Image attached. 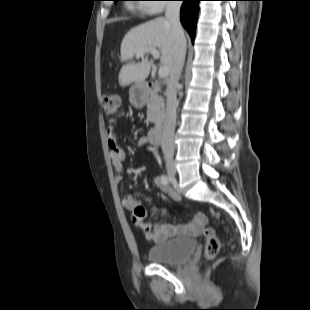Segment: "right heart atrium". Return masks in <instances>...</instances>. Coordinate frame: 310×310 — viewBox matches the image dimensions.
I'll return each instance as SVG.
<instances>
[{
	"instance_id": "obj_1",
	"label": "right heart atrium",
	"mask_w": 310,
	"mask_h": 310,
	"mask_svg": "<svg viewBox=\"0 0 310 310\" xmlns=\"http://www.w3.org/2000/svg\"><path fill=\"white\" fill-rule=\"evenodd\" d=\"M152 1L154 3L148 4L146 7H144V11L150 12V13H160L165 9V1L167 0H148Z\"/></svg>"
}]
</instances>
